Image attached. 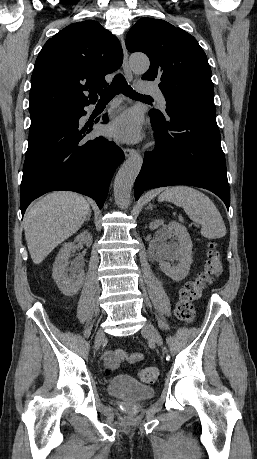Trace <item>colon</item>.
Masks as SVG:
<instances>
[{"label": "colon", "instance_id": "colon-1", "mask_svg": "<svg viewBox=\"0 0 257 459\" xmlns=\"http://www.w3.org/2000/svg\"><path fill=\"white\" fill-rule=\"evenodd\" d=\"M207 255L208 259L202 272L196 279L187 282L179 293L175 314L179 320L185 323L194 321L196 314L194 301L222 272L221 253L216 242L209 243ZM105 372L110 375L111 369L107 368ZM158 374L159 371L156 367H147L142 369L138 376L143 382H153Z\"/></svg>", "mask_w": 257, "mask_h": 459}]
</instances>
